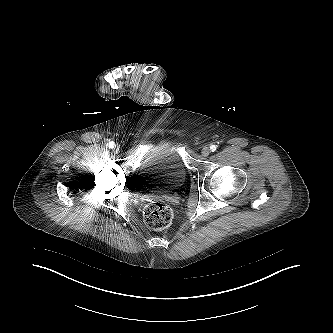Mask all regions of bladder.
Returning a JSON list of instances; mask_svg holds the SVG:
<instances>
[{"label": "bladder", "instance_id": "obj_1", "mask_svg": "<svg viewBox=\"0 0 333 333\" xmlns=\"http://www.w3.org/2000/svg\"><path fill=\"white\" fill-rule=\"evenodd\" d=\"M186 175L187 168L179 142L167 138L141 161L136 172V182L142 191L169 192L181 186Z\"/></svg>", "mask_w": 333, "mask_h": 333}]
</instances>
